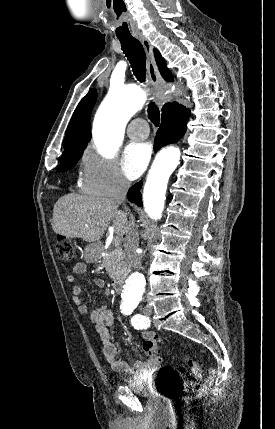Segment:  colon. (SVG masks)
<instances>
[{"label":"colon","mask_w":275,"mask_h":429,"mask_svg":"<svg viewBox=\"0 0 275 429\" xmlns=\"http://www.w3.org/2000/svg\"><path fill=\"white\" fill-rule=\"evenodd\" d=\"M56 254L59 259L63 261H70L74 256V248L71 241L65 237L58 236L56 240ZM158 340L147 341L144 343L143 348L146 354L155 361H159V357L156 354ZM186 364L190 368L189 379L181 381L179 389L187 394H194L200 396L206 389V384H202V368L198 361L188 357L186 358ZM192 396L187 395L184 401H189Z\"/></svg>","instance_id":"5ec220e1"}]
</instances>
